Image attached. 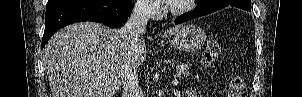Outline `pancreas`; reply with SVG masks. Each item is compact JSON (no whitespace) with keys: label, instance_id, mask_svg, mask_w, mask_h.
<instances>
[{"label":"pancreas","instance_id":"cf45deb5","mask_svg":"<svg viewBox=\"0 0 302 97\" xmlns=\"http://www.w3.org/2000/svg\"><path fill=\"white\" fill-rule=\"evenodd\" d=\"M189 70H190V67L186 64H183V63H179L177 66H176V76L177 77H187L189 76Z\"/></svg>","mask_w":302,"mask_h":97}]
</instances>
